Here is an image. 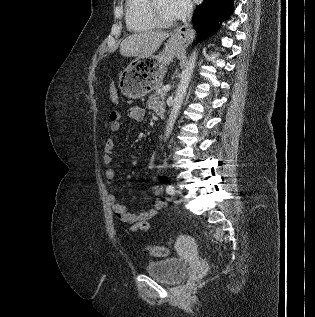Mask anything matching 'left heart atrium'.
Segmentation results:
<instances>
[{"label": "left heart atrium", "instance_id": "obj_1", "mask_svg": "<svg viewBox=\"0 0 315 317\" xmlns=\"http://www.w3.org/2000/svg\"><path fill=\"white\" fill-rule=\"evenodd\" d=\"M168 8L174 18H183L191 10V0H167Z\"/></svg>", "mask_w": 315, "mask_h": 317}]
</instances>
